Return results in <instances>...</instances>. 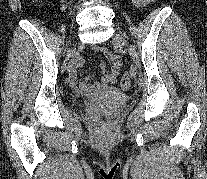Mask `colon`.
<instances>
[{"label":"colon","instance_id":"colon-1","mask_svg":"<svg viewBox=\"0 0 207 179\" xmlns=\"http://www.w3.org/2000/svg\"><path fill=\"white\" fill-rule=\"evenodd\" d=\"M35 2H40V0H33ZM132 73L131 72H126L122 79H121V83H120V86H121V89L123 91H128L131 87V84H132ZM110 119L109 115H106V114H100L98 116V120L101 122V123H105L107 122L108 120Z\"/></svg>","mask_w":207,"mask_h":179}]
</instances>
